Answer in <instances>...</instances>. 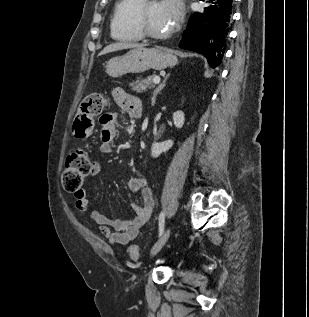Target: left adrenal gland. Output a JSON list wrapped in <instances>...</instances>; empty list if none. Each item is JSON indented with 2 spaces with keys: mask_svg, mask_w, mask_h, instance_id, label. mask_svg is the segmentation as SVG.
I'll list each match as a JSON object with an SVG mask.
<instances>
[{
  "mask_svg": "<svg viewBox=\"0 0 309 317\" xmlns=\"http://www.w3.org/2000/svg\"><path fill=\"white\" fill-rule=\"evenodd\" d=\"M169 76H170V73L166 75V77L164 78L163 82L154 90L153 97H152V102L153 103H155L157 94L165 87L166 81H167Z\"/></svg>",
  "mask_w": 309,
  "mask_h": 317,
  "instance_id": "1",
  "label": "left adrenal gland"
}]
</instances>
